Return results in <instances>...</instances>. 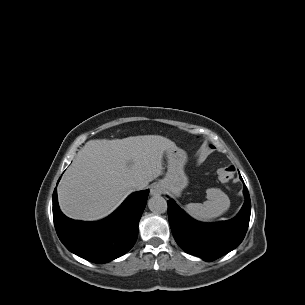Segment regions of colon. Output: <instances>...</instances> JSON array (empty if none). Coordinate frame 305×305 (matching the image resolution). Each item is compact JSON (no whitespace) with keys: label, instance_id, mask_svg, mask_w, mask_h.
<instances>
[{"label":"colon","instance_id":"colon-1","mask_svg":"<svg viewBox=\"0 0 305 305\" xmlns=\"http://www.w3.org/2000/svg\"><path fill=\"white\" fill-rule=\"evenodd\" d=\"M233 178V170L229 167L222 168L218 171V180L222 184H228Z\"/></svg>","mask_w":305,"mask_h":305}]
</instances>
